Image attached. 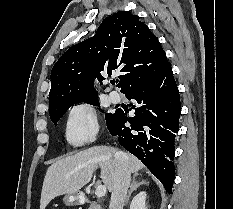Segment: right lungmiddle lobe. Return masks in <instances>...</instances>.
<instances>
[{
	"mask_svg": "<svg viewBox=\"0 0 233 209\" xmlns=\"http://www.w3.org/2000/svg\"><path fill=\"white\" fill-rule=\"evenodd\" d=\"M88 104H92L95 106L99 105L98 99L97 100H91V101H87ZM74 104H68V105H63L60 106L58 108H56L55 110L50 112V118L52 120V122L57 125V122L59 121V119L61 118V116L63 115V113L68 110L71 106H73ZM115 113H107L105 115L106 118V123L107 125L112 121V119L114 118Z\"/></svg>",
	"mask_w": 233,
	"mask_h": 209,
	"instance_id": "right-lung-middle-lobe-1",
	"label": "right lung middle lobe"
}]
</instances>
